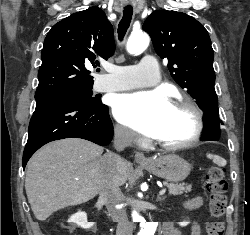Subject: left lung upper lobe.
I'll list each match as a JSON object with an SVG mask.
<instances>
[{
  "label": "left lung upper lobe",
  "instance_id": "5c2ea615",
  "mask_svg": "<svg viewBox=\"0 0 250 235\" xmlns=\"http://www.w3.org/2000/svg\"><path fill=\"white\" fill-rule=\"evenodd\" d=\"M161 58H167L171 76L196 99L206 113L218 108L215 92L214 53L204 26L176 11L157 10L143 24Z\"/></svg>",
  "mask_w": 250,
  "mask_h": 235
}]
</instances>
